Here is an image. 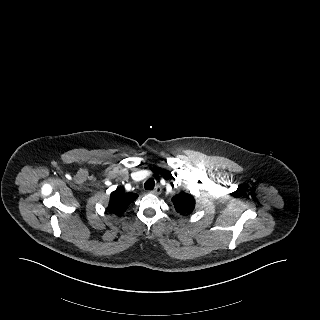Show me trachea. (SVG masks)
<instances>
[{
  "instance_id": "3493384b",
  "label": "trachea",
  "mask_w": 320,
  "mask_h": 320,
  "mask_svg": "<svg viewBox=\"0 0 320 320\" xmlns=\"http://www.w3.org/2000/svg\"><path fill=\"white\" fill-rule=\"evenodd\" d=\"M154 186H155V182H154V180L153 179H148L146 182H145V184H144V188L146 189V190H152L153 188H154Z\"/></svg>"
}]
</instances>
